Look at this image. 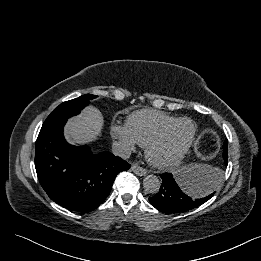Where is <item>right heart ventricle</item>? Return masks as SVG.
I'll return each mask as SVG.
<instances>
[{
	"label": "right heart ventricle",
	"mask_w": 261,
	"mask_h": 261,
	"mask_svg": "<svg viewBox=\"0 0 261 261\" xmlns=\"http://www.w3.org/2000/svg\"><path fill=\"white\" fill-rule=\"evenodd\" d=\"M176 119L161 111L142 109L127 117L126 126L136 142L145 146L163 127Z\"/></svg>",
	"instance_id": "1"
}]
</instances>
